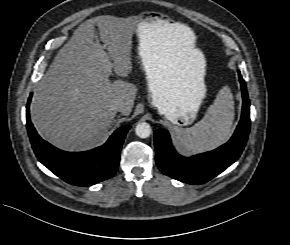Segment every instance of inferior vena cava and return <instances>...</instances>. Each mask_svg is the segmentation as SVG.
Here are the masks:
<instances>
[{
    "mask_svg": "<svg viewBox=\"0 0 290 245\" xmlns=\"http://www.w3.org/2000/svg\"><path fill=\"white\" fill-rule=\"evenodd\" d=\"M112 110L115 111V112H118V111H122L124 109V105L122 102L120 101H115L112 106H111Z\"/></svg>",
    "mask_w": 290,
    "mask_h": 245,
    "instance_id": "1",
    "label": "inferior vena cava"
}]
</instances>
